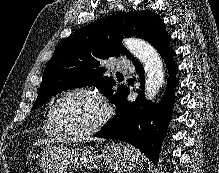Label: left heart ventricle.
Segmentation results:
<instances>
[{
    "instance_id": "1",
    "label": "left heart ventricle",
    "mask_w": 219,
    "mask_h": 173,
    "mask_svg": "<svg viewBox=\"0 0 219 173\" xmlns=\"http://www.w3.org/2000/svg\"><path fill=\"white\" fill-rule=\"evenodd\" d=\"M102 104L92 95L77 93L65 98L59 106L62 124L80 131L93 126L103 115Z\"/></svg>"
}]
</instances>
